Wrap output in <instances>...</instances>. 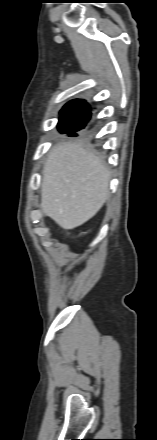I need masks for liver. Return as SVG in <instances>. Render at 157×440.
Masks as SVG:
<instances>
[{"mask_svg": "<svg viewBox=\"0 0 157 440\" xmlns=\"http://www.w3.org/2000/svg\"><path fill=\"white\" fill-rule=\"evenodd\" d=\"M110 172L92 152L77 143H58L43 167L41 206L63 229L81 226L109 197Z\"/></svg>", "mask_w": 157, "mask_h": 440, "instance_id": "obj_1", "label": "liver"}]
</instances>
